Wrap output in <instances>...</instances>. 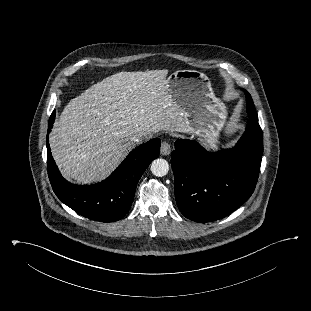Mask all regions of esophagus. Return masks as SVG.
Segmentation results:
<instances>
[{"label": "esophagus", "instance_id": "esophagus-1", "mask_svg": "<svg viewBox=\"0 0 311 311\" xmlns=\"http://www.w3.org/2000/svg\"><path fill=\"white\" fill-rule=\"evenodd\" d=\"M171 152V146L167 141H163L161 144V154L169 155Z\"/></svg>", "mask_w": 311, "mask_h": 311}]
</instances>
